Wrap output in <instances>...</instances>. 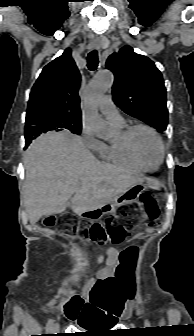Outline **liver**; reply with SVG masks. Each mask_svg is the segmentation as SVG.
<instances>
[{"label":"liver","instance_id":"1","mask_svg":"<svg viewBox=\"0 0 194 336\" xmlns=\"http://www.w3.org/2000/svg\"><path fill=\"white\" fill-rule=\"evenodd\" d=\"M25 204L29 221L63 212L71 200L74 213L111 203L143 182L136 172L102 163L80 137L48 133L34 140L24 155Z\"/></svg>","mask_w":194,"mask_h":336}]
</instances>
